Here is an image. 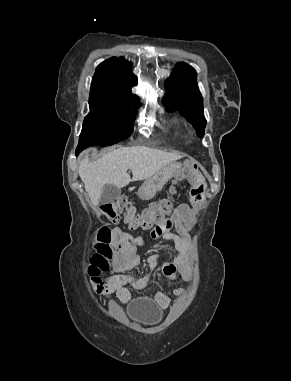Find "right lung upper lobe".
I'll return each mask as SVG.
<instances>
[{"label": "right lung upper lobe", "instance_id": "right-lung-upper-lobe-1", "mask_svg": "<svg viewBox=\"0 0 291 381\" xmlns=\"http://www.w3.org/2000/svg\"><path fill=\"white\" fill-rule=\"evenodd\" d=\"M129 66L131 64L124 58L112 57L102 62L93 76L90 97L139 105L138 97L131 93V87L137 84V78L128 73Z\"/></svg>", "mask_w": 291, "mask_h": 381}]
</instances>
